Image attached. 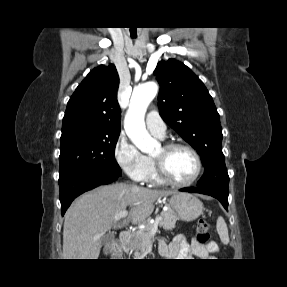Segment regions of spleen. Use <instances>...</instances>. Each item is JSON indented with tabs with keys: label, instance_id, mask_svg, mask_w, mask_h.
Listing matches in <instances>:
<instances>
[{
	"label": "spleen",
	"instance_id": "3e777b00",
	"mask_svg": "<svg viewBox=\"0 0 287 287\" xmlns=\"http://www.w3.org/2000/svg\"><path fill=\"white\" fill-rule=\"evenodd\" d=\"M216 229L220 236L221 242L227 245L229 243V235L228 228L223 217H219L217 219Z\"/></svg>",
	"mask_w": 287,
	"mask_h": 287
}]
</instances>
